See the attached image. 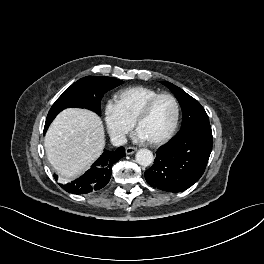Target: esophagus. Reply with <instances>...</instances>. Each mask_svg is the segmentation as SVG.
Returning <instances> with one entry per match:
<instances>
[{
  "label": "esophagus",
  "mask_w": 264,
  "mask_h": 264,
  "mask_svg": "<svg viewBox=\"0 0 264 264\" xmlns=\"http://www.w3.org/2000/svg\"><path fill=\"white\" fill-rule=\"evenodd\" d=\"M136 151H137V148H135V147H127L126 148V154L127 155H131V154L135 153Z\"/></svg>",
  "instance_id": "34e87169"
}]
</instances>
